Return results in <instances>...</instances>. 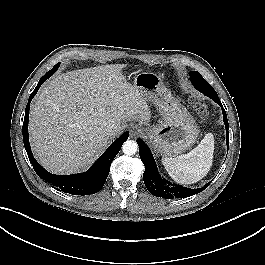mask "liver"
Segmentation results:
<instances>
[{"label":"liver","mask_w":265,"mask_h":265,"mask_svg":"<svg viewBox=\"0 0 265 265\" xmlns=\"http://www.w3.org/2000/svg\"><path fill=\"white\" fill-rule=\"evenodd\" d=\"M124 64L101 65L54 77L35 97L29 118L32 151L54 174L89 168L125 129L148 123L149 107L123 76ZM114 128V136L107 135Z\"/></svg>","instance_id":"6515ba94"}]
</instances>
